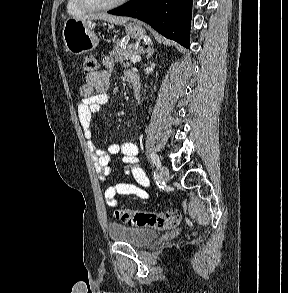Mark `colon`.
<instances>
[{
    "instance_id": "colon-1",
    "label": "colon",
    "mask_w": 288,
    "mask_h": 293,
    "mask_svg": "<svg viewBox=\"0 0 288 293\" xmlns=\"http://www.w3.org/2000/svg\"><path fill=\"white\" fill-rule=\"evenodd\" d=\"M99 67L98 60L91 55L83 59V73L86 77L97 72ZM118 220L132 226L152 227L156 229H167L177 225L181 214L177 209H171L165 212H142L128 209H118L115 211Z\"/></svg>"
}]
</instances>
